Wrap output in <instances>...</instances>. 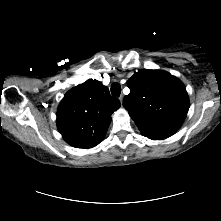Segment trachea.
<instances>
[{"mask_svg": "<svg viewBox=\"0 0 221 221\" xmlns=\"http://www.w3.org/2000/svg\"><path fill=\"white\" fill-rule=\"evenodd\" d=\"M120 93H121V86H120V84L119 83H113L111 85V94L113 96L118 97L120 95Z\"/></svg>", "mask_w": 221, "mask_h": 221, "instance_id": "1", "label": "trachea"}]
</instances>
